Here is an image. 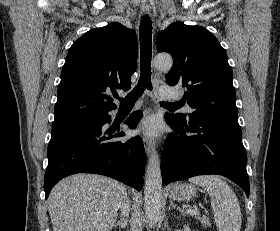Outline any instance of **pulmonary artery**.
<instances>
[{"instance_id": "pulmonary-artery-1", "label": "pulmonary artery", "mask_w": 280, "mask_h": 231, "mask_svg": "<svg viewBox=\"0 0 280 231\" xmlns=\"http://www.w3.org/2000/svg\"><path fill=\"white\" fill-rule=\"evenodd\" d=\"M159 96L164 100H172L180 98L181 93L179 91H174L170 86L163 85L159 88Z\"/></svg>"}]
</instances>
